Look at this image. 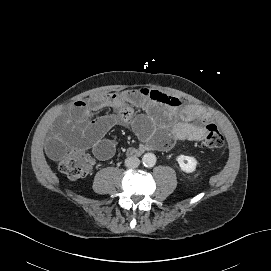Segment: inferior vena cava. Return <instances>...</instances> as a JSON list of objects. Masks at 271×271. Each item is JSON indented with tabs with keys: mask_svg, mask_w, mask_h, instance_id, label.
<instances>
[{
	"mask_svg": "<svg viewBox=\"0 0 271 271\" xmlns=\"http://www.w3.org/2000/svg\"><path fill=\"white\" fill-rule=\"evenodd\" d=\"M140 160L137 157H128L125 159V166L128 168H137Z\"/></svg>",
	"mask_w": 271,
	"mask_h": 271,
	"instance_id": "inferior-vena-cava-1",
	"label": "inferior vena cava"
}]
</instances>
